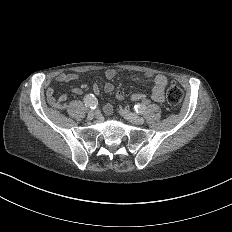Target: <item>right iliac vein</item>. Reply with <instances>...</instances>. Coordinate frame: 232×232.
<instances>
[{"instance_id": "63e3f726", "label": "right iliac vein", "mask_w": 232, "mask_h": 232, "mask_svg": "<svg viewBox=\"0 0 232 232\" xmlns=\"http://www.w3.org/2000/svg\"><path fill=\"white\" fill-rule=\"evenodd\" d=\"M94 116H95V113H94L93 111H90V112L88 113V119H89V120H92Z\"/></svg>"}]
</instances>
